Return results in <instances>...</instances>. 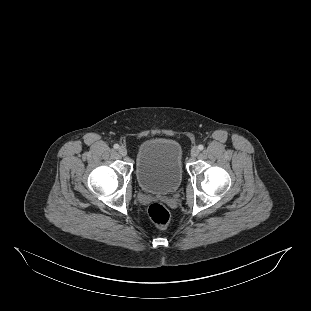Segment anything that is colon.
<instances>
[{"instance_id":"1","label":"colon","mask_w":311,"mask_h":311,"mask_svg":"<svg viewBox=\"0 0 311 311\" xmlns=\"http://www.w3.org/2000/svg\"><path fill=\"white\" fill-rule=\"evenodd\" d=\"M148 214L152 222L160 228H165L169 224L170 212L161 203H152L148 208Z\"/></svg>"}]
</instances>
